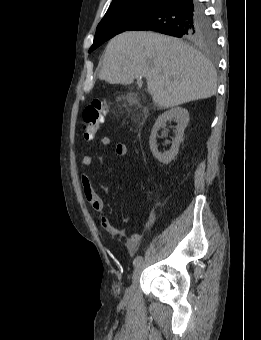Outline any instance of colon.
I'll return each mask as SVG.
<instances>
[{
	"instance_id": "colon-1",
	"label": "colon",
	"mask_w": 261,
	"mask_h": 340,
	"mask_svg": "<svg viewBox=\"0 0 261 340\" xmlns=\"http://www.w3.org/2000/svg\"><path fill=\"white\" fill-rule=\"evenodd\" d=\"M108 111V106L102 101H95L83 110V132L87 141L92 140L103 122L104 116Z\"/></svg>"
}]
</instances>
